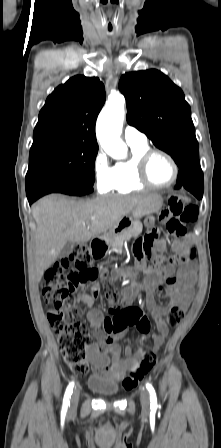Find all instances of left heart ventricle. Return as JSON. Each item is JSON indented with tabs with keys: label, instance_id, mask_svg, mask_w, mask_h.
Listing matches in <instances>:
<instances>
[{
	"label": "left heart ventricle",
	"instance_id": "obj_1",
	"mask_svg": "<svg viewBox=\"0 0 221 448\" xmlns=\"http://www.w3.org/2000/svg\"><path fill=\"white\" fill-rule=\"evenodd\" d=\"M149 176L156 184H166L174 176L171 163L162 155H155L149 164Z\"/></svg>",
	"mask_w": 221,
	"mask_h": 448
}]
</instances>
